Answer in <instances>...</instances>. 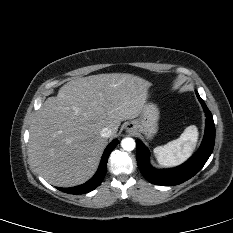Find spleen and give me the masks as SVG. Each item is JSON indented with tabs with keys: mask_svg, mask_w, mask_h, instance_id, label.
<instances>
[{
	"mask_svg": "<svg viewBox=\"0 0 233 233\" xmlns=\"http://www.w3.org/2000/svg\"><path fill=\"white\" fill-rule=\"evenodd\" d=\"M198 140V129L191 125L176 140L157 146L153 152L162 166H176L184 162L193 152Z\"/></svg>",
	"mask_w": 233,
	"mask_h": 233,
	"instance_id": "spleen-1",
	"label": "spleen"
}]
</instances>
